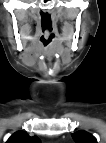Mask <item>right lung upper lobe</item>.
Wrapping results in <instances>:
<instances>
[{
	"label": "right lung upper lobe",
	"instance_id": "right-lung-upper-lobe-1",
	"mask_svg": "<svg viewBox=\"0 0 106 143\" xmlns=\"http://www.w3.org/2000/svg\"><path fill=\"white\" fill-rule=\"evenodd\" d=\"M39 138L37 136L30 137L24 131H18L14 133L6 143H38Z\"/></svg>",
	"mask_w": 106,
	"mask_h": 143
}]
</instances>
